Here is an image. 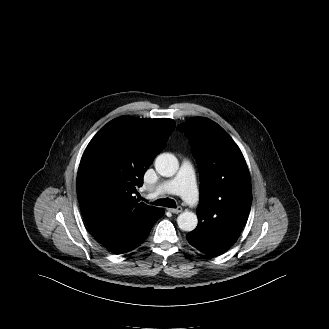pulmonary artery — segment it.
<instances>
[{"instance_id":"pulmonary-artery-1","label":"pulmonary artery","mask_w":329,"mask_h":329,"mask_svg":"<svg viewBox=\"0 0 329 329\" xmlns=\"http://www.w3.org/2000/svg\"><path fill=\"white\" fill-rule=\"evenodd\" d=\"M156 194L180 195L190 205L196 206L199 202V195L195 173L190 162L184 161L174 178L160 183L157 186Z\"/></svg>"}]
</instances>
